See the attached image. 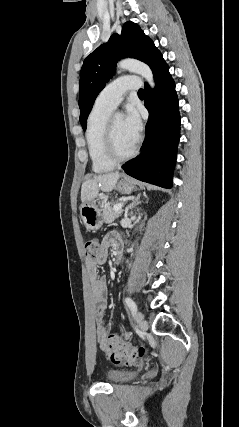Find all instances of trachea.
Here are the masks:
<instances>
[{"instance_id": "obj_1", "label": "trachea", "mask_w": 239, "mask_h": 427, "mask_svg": "<svg viewBox=\"0 0 239 427\" xmlns=\"http://www.w3.org/2000/svg\"><path fill=\"white\" fill-rule=\"evenodd\" d=\"M138 95H144V90H143V89H140V90L138 91Z\"/></svg>"}]
</instances>
